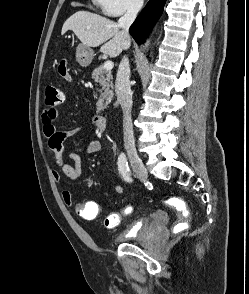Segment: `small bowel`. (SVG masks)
<instances>
[{"label":"small bowel","instance_id":"obj_1","mask_svg":"<svg viewBox=\"0 0 249 294\" xmlns=\"http://www.w3.org/2000/svg\"><path fill=\"white\" fill-rule=\"evenodd\" d=\"M62 77L68 81L71 79L68 73ZM57 116L58 113L55 106H46L42 110L40 119L43 133L46 138L47 150L54 162V166L50 171L51 177L56 183H61L63 176L71 181H78L82 176L80 153H97L101 149V142L99 139L92 138L83 146L70 147V152L65 155L64 142L83 132L84 127L77 126L70 130L60 131L56 127ZM67 160L72 161L73 165L69 164ZM113 189L118 195L124 194V188L119 184H115ZM62 199L67 206L75 207L76 203L74 196L69 191H62ZM82 205L86 212L98 208V204L92 201L85 202ZM129 211L130 209L127 208L124 210V213H129ZM86 212L80 216L85 220L95 219L99 214L97 212L93 217H90ZM120 219L121 215L119 213H112L105 218L104 224L108 229H114L118 226ZM114 220H116V224Z\"/></svg>","mask_w":249,"mask_h":294}]
</instances>
